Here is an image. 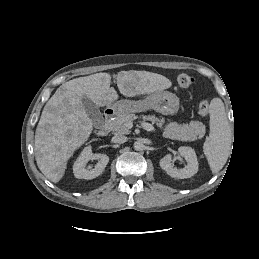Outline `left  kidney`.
<instances>
[{"label": "left kidney", "instance_id": "1", "mask_svg": "<svg viewBox=\"0 0 259 259\" xmlns=\"http://www.w3.org/2000/svg\"><path fill=\"white\" fill-rule=\"evenodd\" d=\"M179 155L184 157L187 161V165L182 169H177L172 165V155H165L159 162L161 168L166 173L177 179L190 178L198 172V160L194 149L187 146H182L178 149Z\"/></svg>", "mask_w": 259, "mask_h": 259}]
</instances>
